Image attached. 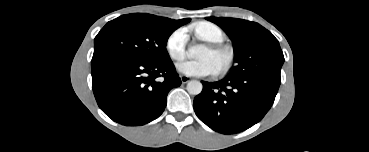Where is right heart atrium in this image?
<instances>
[{
	"mask_svg": "<svg viewBox=\"0 0 369 152\" xmlns=\"http://www.w3.org/2000/svg\"><path fill=\"white\" fill-rule=\"evenodd\" d=\"M188 36L183 28L173 31L166 41V50L172 60H180L185 56Z\"/></svg>",
	"mask_w": 369,
	"mask_h": 152,
	"instance_id": "right-heart-atrium-1",
	"label": "right heart atrium"
}]
</instances>
